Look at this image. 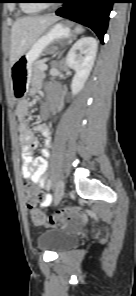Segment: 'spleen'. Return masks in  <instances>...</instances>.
I'll return each mask as SVG.
<instances>
[{"label":"spleen","instance_id":"3e777b00","mask_svg":"<svg viewBox=\"0 0 136 296\" xmlns=\"http://www.w3.org/2000/svg\"><path fill=\"white\" fill-rule=\"evenodd\" d=\"M85 30L82 26H76L74 32L77 34L83 33Z\"/></svg>","mask_w":136,"mask_h":296}]
</instances>
